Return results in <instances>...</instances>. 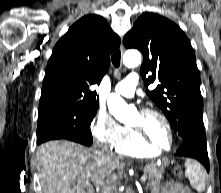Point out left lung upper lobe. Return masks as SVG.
Wrapping results in <instances>:
<instances>
[{"instance_id": "5c2ea615", "label": "left lung upper lobe", "mask_w": 221, "mask_h": 193, "mask_svg": "<svg viewBox=\"0 0 221 193\" xmlns=\"http://www.w3.org/2000/svg\"><path fill=\"white\" fill-rule=\"evenodd\" d=\"M126 48L144 57L140 73L146 86L158 83L148 96L161 108L182 138L204 129L200 74L195 54L184 32L167 18L144 13L123 40ZM152 76L146 78V74Z\"/></svg>"}]
</instances>
